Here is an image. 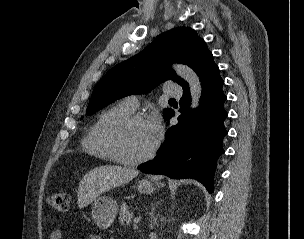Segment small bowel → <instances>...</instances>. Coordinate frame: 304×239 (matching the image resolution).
Masks as SVG:
<instances>
[{
	"instance_id": "small-bowel-1",
	"label": "small bowel",
	"mask_w": 304,
	"mask_h": 239,
	"mask_svg": "<svg viewBox=\"0 0 304 239\" xmlns=\"http://www.w3.org/2000/svg\"><path fill=\"white\" fill-rule=\"evenodd\" d=\"M49 239H63V231L61 229H54L49 236ZM89 239H101L97 235L90 236Z\"/></svg>"
}]
</instances>
